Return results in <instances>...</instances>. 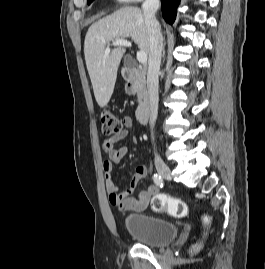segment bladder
<instances>
[{"mask_svg": "<svg viewBox=\"0 0 265 269\" xmlns=\"http://www.w3.org/2000/svg\"><path fill=\"white\" fill-rule=\"evenodd\" d=\"M126 232L141 244L163 247L177 236V227L166 220L147 214H128L124 217Z\"/></svg>", "mask_w": 265, "mask_h": 269, "instance_id": "bladder-1", "label": "bladder"}]
</instances>
